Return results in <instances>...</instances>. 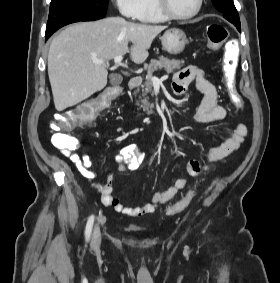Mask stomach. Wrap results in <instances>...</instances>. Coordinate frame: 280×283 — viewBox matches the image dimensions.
<instances>
[{
    "label": "stomach",
    "instance_id": "stomach-1",
    "mask_svg": "<svg viewBox=\"0 0 280 283\" xmlns=\"http://www.w3.org/2000/svg\"><path fill=\"white\" fill-rule=\"evenodd\" d=\"M162 47L169 54L177 55L181 53L188 44V39L183 30L171 28L161 37Z\"/></svg>",
    "mask_w": 280,
    "mask_h": 283
}]
</instances>
